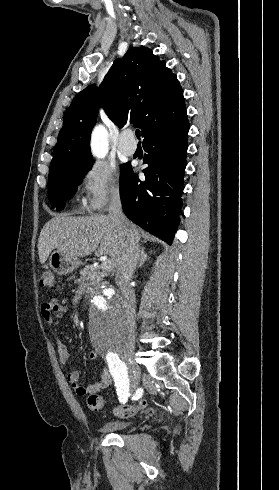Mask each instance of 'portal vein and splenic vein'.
<instances>
[{
  "label": "portal vein and splenic vein",
  "mask_w": 279,
  "mask_h": 490,
  "mask_svg": "<svg viewBox=\"0 0 279 490\" xmlns=\"http://www.w3.org/2000/svg\"><path fill=\"white\" fill-rule=\"evenodd\" d=\"M102 266H109V268H113L114 264L112 260H107V258H105L104 262H102Z\"/></svg>",
  "instance_id": "18ae733b"
}]
</instances>
